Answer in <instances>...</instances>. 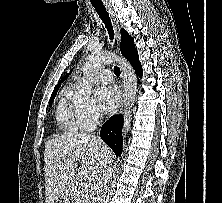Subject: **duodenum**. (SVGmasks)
<instances>
[{"label": "duodenum", "mask_w": 222, "mask_h": 203, "mask_svg": "<svg viewBox=\"0 0 222 203\" xmlns=\"http://www.w3.org/2000/svg\"><path fill=\"white\" fill-rule=\"evenodd\" d=\"M76 195L75 191H72V197H74Z\"/></svg>", "instance_id": "410a0bca"}]
</instances>
